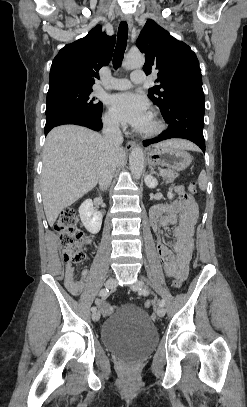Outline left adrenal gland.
<instances>
[{
  "mask_svg": "<svg viewBox=\"0 0 247 407\" xmlns=\"http://www.w3.org/2000/svg\"><path fill=\"white\" fill-rule=\"evenodd\" d=\"M151 173L152 174H154L155 173V171H154V169L151 167Z\"/></svg>",
  "mask_w": 247,
  "mask_h": 407,
  "instance_id": "1",
  "label": "left adrenal gland"
}]
</instances>
